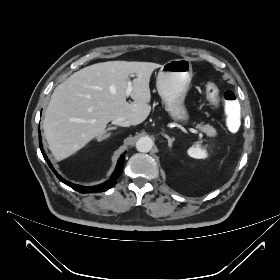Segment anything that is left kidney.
I'll use <instances>...</instances> for the list:
<instances>
[{"label": "left kidney", "mask_w": 280, "mask_h": 280, "mask_svg": "<svg viewBox=\"0 0 280 280\" xmlns=\"http://www.w3.org/2000/svg\"><path fill=\"white\" fill-rule=\"evenodd\" d=\"M188 155L195 159H204L207 157L205 149L201 148L199 144L190 147L187 151Z\"/></svg>", "instance_id": "obj_1"}]
</instances>
